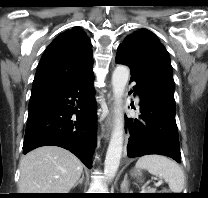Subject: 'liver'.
<instances>
[{"label": "liver", "mask_w": 208, "mask_h": 198, "mask_svg": "<svg viewBox=\"0 0 208 198\" xmlns=\"http://www.w3.org/2000/svg\"><path fill=\"white\" fill-rule=\"evenodd\" d=\"M81 161L57 146L39 147L20 162V193H68L79 180Z\"/></svg>", "instance_id": "obj_1"}]
</instances>
